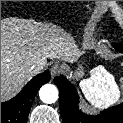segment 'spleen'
<instances>
[{"mask_svg": "<svg viewBox=\"0 0 123 123\" xmlns=\"http://www.w3.org/2000/svg\"><path fill=\"white\" fill-rule=\"evenodd\" d=\"M80 88L85 98L98 108L113 105L121 95L114 76L103 66L96 67L91 77L83 79Z\"/></svg>", "mask_w": 123, "mask_h": 123, "instance_id": "spleen-1", "label": "spleen"}]
</instances>
